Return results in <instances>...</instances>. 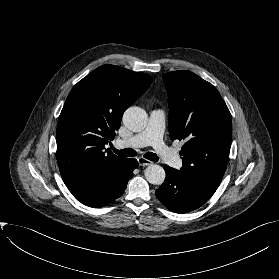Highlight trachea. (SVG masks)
Here are the masks:
<instances>
[{
  "mask_svg": "<svg viewBox=\"0 0 279 279\" xmlns=\"http://www.w3.org/2000/svg\"><path fill=\"white\" fill-rule=\"evenodd\" d=\"M112 150L119 156L123 157H134L137 155V152L133 149H122L117 150L116 148H112ZM144 157L150 161L157 162L159 160L158 156L155 153L147 152L144 154Z\"/></svg>",
  "mask_w": 279,
  "mask_h": 279,
  "instance_id": "3493384b",
  "label": "trachea"
}]
</instances>
